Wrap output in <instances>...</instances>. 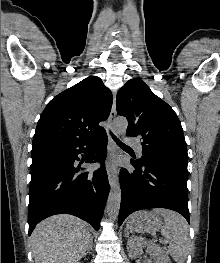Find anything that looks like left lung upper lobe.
Here are the masks:
<instances>
[{"instance_id":"1","label":"left lung upper lobe","mask_w":220,"mask_h":263,"mask_svg":"<svg viewBox=\"0 0 220 263\" xmlns=\"http://www.w3.org/2000/svg\"><path fill=\"white\" fill-rule=\"evenodd\" d=\"M117 113L128 120L126 135L142 142L140 160L158 161L188 173L181 123L174 110L141 79L129 80L117 93Z\"/></svg>"}]
</instances>
